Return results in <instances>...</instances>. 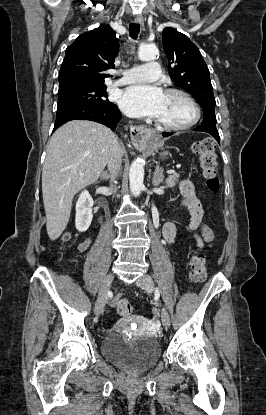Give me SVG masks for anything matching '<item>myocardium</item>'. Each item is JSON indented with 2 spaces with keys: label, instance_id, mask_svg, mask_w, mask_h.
<instances>
[{
  "label": "myocardium",
  "instance_id": "myocardium-1",
  "mask_svg": "<svg viewBox=\"0 0 266 415\" xmlns=\"http://www.w3.org/2000/svg\"><path fill=\"white\" fill-rule=\"evenodd\" d=\"M166 95H176L181 97L192 108L193 117L187 123L181 125H169L156 120L157 127L166 131H183L197 124L201 117V111L196 101L185 91L177 88H169L165 91Z\"/></svg>",
  "mask_w": 266,
  "mask_h": 415
}]
</instances>
